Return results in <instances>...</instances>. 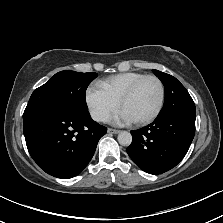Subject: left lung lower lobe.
Masks as SVG:
<instances>
[{
  "mask_svg": "<svg viewBox=\"0 0 223 223\" xmlns=\"http://www.w3.org/2000/svg\"><path fill=\"white\" fill-rule=\"evenodd\" d=\"M130 158L145 172L161 174L175 167L187 153L195 134V115L173 114L131 131Z\"/></svg>",
  "mask_w": 223,
  "mask_h": 223,
  "instance_id": "1",
  "label": "left lung lower lobe"
}]
</instances>
